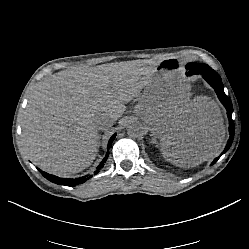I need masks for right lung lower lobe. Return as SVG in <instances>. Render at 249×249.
Returning <instances> with one entry per match:
<instances>
[{
	"label": "right lung lower lobe",
	"instance_id": "98d812e1",
	"mask_svg": "<svg viewBox=\"0 0 249 249\" xmlns=\"http://www.w3.org/2000/svg\"><path fill=\"white\" fill-rule=\"evenodd\" d=\"M115 137H116V134H114L110 138L109 143H108V149L111 146V144H112L113 140L115 139ZM108 156H109V152L106 153L105 158L102 160L100 165L97 167V170L95 171V174H97L99 172V169L103 167V165H104L105 161L107 160ZM38 170L49 181H51L53 183H56V184H59V185H65V186H70V187H73V186H76L77 184L83 183V182H85L87 179H89L91 177V176L90 177H80V178H76V179L59 178L57 176L50 175V174H48L46 172H43L40 169H38Z\"/></svg>",
	"mask_w": 249,
	"mask_h": 249
}]
</instances>
